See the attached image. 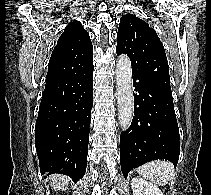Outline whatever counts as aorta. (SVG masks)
Instances as JSON below:
<instances>
[{
	"label": "aorta",
	"instance_id": "aorta-1",
	"mask_svg": "<svg viewBox=\"0 0 211 195\" xmlns=\"http://www.w3.org/2000/svg\"><path fill=\"white\" fill-rule=\"evenodd\" d=\"M118 118L122 130H127L133 119V89L131 61L120 55L116 64Z\"/></svg>",
	"mask_w": 211,
	"mask_h": 195
}]
</instances>
